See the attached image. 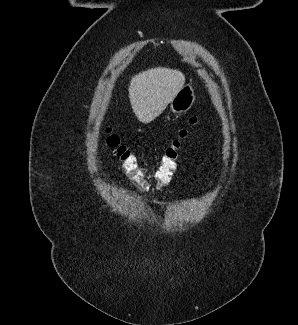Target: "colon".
Returning <instances> with one entry per match:
<instances>
[{"instance_id": "5ec220e1", "label": "colon", "mask_w": 298, "mask_h": 325, "mask_svg": "<svg viewBox=\"0 0 298 325\" xmlns=\"http://www.w3.org/2000/svg\"><path fill=\"white\" fill-rule=\"evenodd\" d=\"M189 123L191 125L196 124L197 118H190ZM187 138L188 130L182 129L178 137L165 149L154 174L155 186L157 188H163L169 184L177 167L182 142ZM106 141L112 154L119 160L121 170L126 177L137 189L147 191L150 188V183L145 171L140 167L136 156L120 142L119 137L115 133L109 131Z\"/></svg>"}]
</instances>
